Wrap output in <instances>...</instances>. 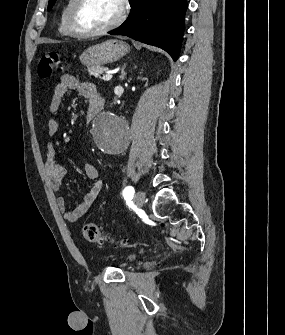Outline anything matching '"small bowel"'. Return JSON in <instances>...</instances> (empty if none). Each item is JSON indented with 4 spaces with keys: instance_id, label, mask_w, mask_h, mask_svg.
Masks as SVG:
<instances>
[{
    "instance_id": "c3829d8e",
    "label": "small bowel",
    "mask_w": 285,
    "mask_h": 335,
    "mask_svg": "<svg viewBox=\"0 0 285 335\" xmlns=\"http://www.w3.org/2000/svg\"><path fill=\"white\" fill-rule=\"evenodd\" d=\"M70 91H76L80 96L93 102L101 99L95 86L91 83L79 82L74 76L69 74L62 75L59 83L56 84L49 104L51 113H57L63 103L64 98ZM59 131V122L56 118H51L47 124V132L49 136H54ZM45 169L47 178L53 190L59 192L62 181L65 177V170L63 166L57 161L56 151L53 144L48 143L44 152ZM85 174L90 179H97L99 172L98 169L92 165L87 164L84 168ZM103 188V182L96 180L88 193L84 196L79 205L73 209L68 210L66 207L65 199L58 196L56 199L59 211L62 213L63 218L67 222H76L80 219L90 208L93 202L98 198Z\"/></svg>"
}]
</instances>
